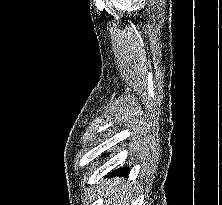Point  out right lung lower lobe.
<instances>
[{
    "instance_id": "98d812e1",
    "label": "right lung lower lobe",
    "mask_w": 222,
    "mask_h": 205,
    "mask_svg": "<svg viewBox=\"0 0 222 205\" xmlns=\"http://www.w3.org/2000/svg\"><path fill=\"white\" fill-rule=\"evenodd\" d=\"M129 173L128 168H120L116 171L111 172L109 176H127Z\"/></svg>"
}]
</instances>
